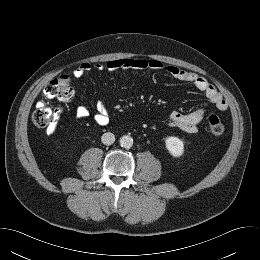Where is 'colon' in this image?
<instances>
[{"label":"colon","mask_w":260,"mask_h":260,"mask_svg":"<svg viewBox=\"0 0 260 260\" xmlns=\"http://www.w3.org/2000/svg\"><path fill=\"white\" fill-rule=\"evenodd\" d=\"M43 95L46 100H57L69 102L73 96V87L68 75H61L51 80L44 88ZM59 110L52 108L47 101L42 100L38 103L33 113L34 124L39 128L54 130ZM208 130L214 137H220L224 133V125L216 115H211L207 121Z\"/></svg>","instance_id":"obj_1"}]
</instances>
